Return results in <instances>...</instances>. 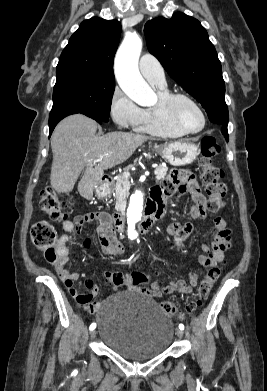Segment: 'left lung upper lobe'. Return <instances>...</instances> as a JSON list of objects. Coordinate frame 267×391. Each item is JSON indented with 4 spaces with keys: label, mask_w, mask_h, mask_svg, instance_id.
Returning <instances> with one entry per match:
<instances>
[{
    "label": "left lung upper lobe",
    "mask_w": 267,
    "mask_h": 391,
    "mask_svg": "<svg viewBox=\"0 0 267 391\" xmlns=\"http://www.w3.org/2000/svg\"><path fill=\"white\" fill-rule=\"evenodd\" d=\"M147 47L179 85L205 108L211 122L228 125L221 63L200 22L184 13L144 26Z\"/></svg>",
    "instance_id": "left-lung-upper-lobe-1"
}]
</instances>
